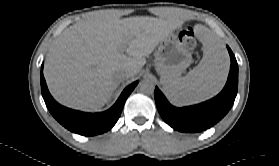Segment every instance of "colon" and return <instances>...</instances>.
<instances>
[{
  "mask_svg": "<svg viewBox=\"0 0 279 166\" xmlns=\"http://www.w3.org/2000/svg\"><path fill=\"white\" fill-rule=\"evenodd\" d=\"M178 39L183 48L193 50L197 45L195 30L192 27L182 28L178 33Z\"/></svg>",
  "mask_w": 279,
  "mask_h": 166,
  "instance_id": "1",
  "label": "colon"
}]
</instances>
